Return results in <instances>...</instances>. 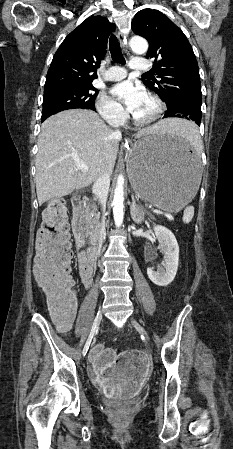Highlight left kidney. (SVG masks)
Segmentation results:
<instances>
[{"label": "left kidney", "mask_w": 233, "mask_h": 449, "mask_svg": "<svg viewBox=\"0 0 233 449\" xmlns=\"http://www.w3.org/2000/svg\"><path fill=\"white\" fill-rule=\"evenodd\" d=\"M154 233L164 254V268H147L149 279L158 286H167L175 278L179 262V246L174 234L164 226L155 225Z\"/></svg>", "instance_id": "obj_1"}]
</instances>
